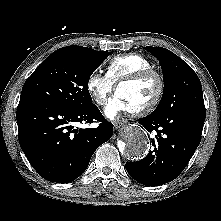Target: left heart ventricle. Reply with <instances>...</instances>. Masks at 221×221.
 Returning a JSON list of instances; mask_svg holds the SVG:
<instances>
[{
    "label": "left heart ventricle",
    "instance_id": "1",
    "mask_svg": "<svg viewBox=\"0 0 221 221\" xmlns=\"http://www.w3.org/2000/svg\"><path fill=\"white\" fill-rule=\"evenodd\" d=\"M156 92L157 82L154 78L134 84H125L117 90V94L125 100L131 110L142 108L150 103Z\"/></svg>",
    "mask_w": 221,
    "mask_h": 221
}]
</instances>
